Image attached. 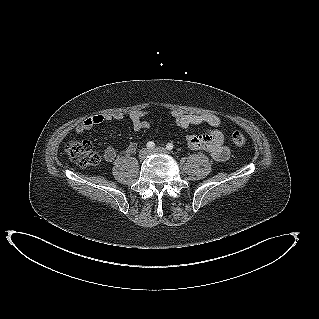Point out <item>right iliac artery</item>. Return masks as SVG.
I'll return each instance as SVG.
<instances>
[{
    "label": "right iliac artery",
    "mask_w": 319,
    "mask_h": 319,
    "mask_svg": "<svg viewBox=\"0 0 319 319\" xmlns=\"http://www.w3.org/2000/svg\"><path fill=\"white\" fill-rule=\"evenodd\" d=\"M147 148L149 149H153L155 147V143L153 141H149L147 144H146Z\"/></svg>",
    "instance_id": "right-iliac-artery-1"
}]
</instances>
